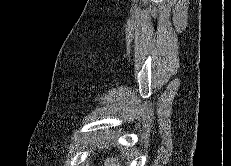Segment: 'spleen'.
Masks as SVG:
<instances>
[{
  "label": "spleen",
  "instance_id": "3e777b00",
  "mask_svg": "<svg viewBox=\"0 0 231 166\" xmlns=\"http://www.w3.org/2000/svg\"><path fill=\"white\" fill-rule=\"evenodd\" d=\"M104 166H121V164L118 161V158H111L106 159L104 162Z\"/></svg>",
  "mask_w": 231,
  "mask_h": 166
}]
</instances>
